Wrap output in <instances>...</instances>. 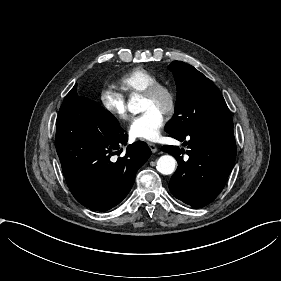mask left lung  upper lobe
<instances>
[{
  "label": "left lung upper lobe",
  "mask_w": 281,
  "mask_h": 281,
  "mask_svg": "<svg viewBox=\"0 0 281 281\" xmlns=\"http://www.w3.org/2000/svg\"><path fill=\"white\" fill-rule=\"evenodd\" d=\"M177 85L175 114L165 131L174 135L216 125L232 124L223 96L215 84L193 66L174 61L168 66Z\"/></svg>",
  "instance_id": "left-lung-upper-lobe-1"
}]
</instances>
